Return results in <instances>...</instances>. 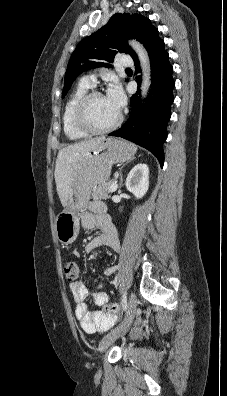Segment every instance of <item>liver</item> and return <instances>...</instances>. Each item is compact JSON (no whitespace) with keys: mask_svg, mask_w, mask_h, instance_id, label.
I'll use <instances>...</instances> for the list:
<instances>
[{"mask_svg":"<svg viewBox=\"0 0 227 396\" xmlns=\"http://www.w3.org/2000/svg\"><path fill=\"white\" fill-rule=\"evenodd\" d=\"M104 140V136L84 140L69 145L58 152L54 176L57 193L63 207L67 204L75 165Z\"/></svg>","mask_w":227,"mask_h":396,"instance_id":"1","label":"liver"}]
</instances>
